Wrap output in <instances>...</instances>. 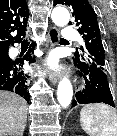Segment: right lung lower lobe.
Segmentation results:
<instances>
[{"mask_svg": "<svg viewBox=\"0 0 117 136\" xmlns=\"http://www.w3.org/2000/svg\"><path fill=\"white\" fill-rule=\"evenodd\" d=\"M24 60L32 62L29 55L16 60L10 59L9 56L0 58V90L15 92L29 101V76L22 70Z\"/></svg>", "mask_w": 117, "mask_h": 136, "instance_id": "98d812e1", "label": "right lung lower lobe"}]
</instances>
